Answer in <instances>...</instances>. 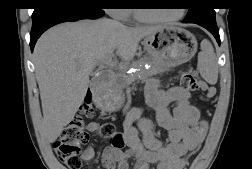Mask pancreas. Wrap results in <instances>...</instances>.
<instances>
[{
    "instance_id": "obj_1",
    "label": "pancreas",
    "mask_w": 252,
    "mask_h": 169,
    "mask_svg": "<svg viewBox=\"0 0 252 169\" xmlns=\"http://www.w3.org/2000/svg\"><path fill=\"white\" fill-rule=\"evenodd\" d=\"M146 61H150V59L144 58V59L140 60L138 62V65H142L140 67V71L136 72L132 75L127 76L126 80H128L129 82H134L137 79H141V80L149 79L155 73V68H153V67H151L149 69L144 68L143 65ZM122 73H124V71ZM119 76H120V73L116 74L114 76L113 80L110 82V84L114 83L119 78Z\"/></svg>"
}]
</instances>
